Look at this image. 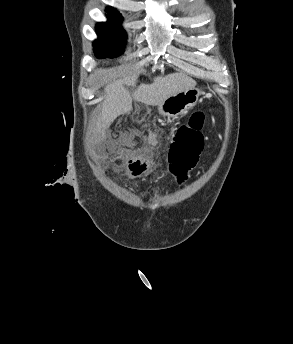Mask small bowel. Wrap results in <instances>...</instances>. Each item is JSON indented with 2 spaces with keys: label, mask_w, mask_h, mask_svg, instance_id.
<instances>
[{
  "label": "small bowel",
  "mask_w": 293,
  "mask_h": 344,
  "mask_svg": "<svg viewBox=\"0 0 293 344\" xmlns=\"http://www.w3.org/2000/svg\"><path fill=\"white\" fill-rule=\"evenodd\" d=\"M140 139H143L146 144L152 148H156L159 145V138L154 132H146L144 135L140 136Z\"/></svg>",
  "instance_id": "small-bowel-1"
}]
</instances>
